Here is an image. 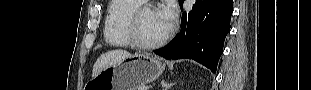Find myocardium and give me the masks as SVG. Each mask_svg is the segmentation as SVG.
<instances>
[{
	"label": "myocardium",
	"instance_id": "myocardium-1",
	"mask_svg": "<svg viewBox=\"0 0 311 90\" xmlns=\"http://www.w3.org/2000/svg\"><path fill=\"white\" fill-rule=\"evenodd\" d=\"M148 9H153L152 6L144 5L141 6L133 11L131 14L129 21H128V32L129 36L132 42V45L136 46L137 48L140 49H145V50H151L158 48L165 44L167 40L171 37L172 35V29H169L168 32L162 36L160 39L154 42H146L142 39L141 33H140V21H141V16L144 13V11Z\"/></svg>",
	"mask_w": 311,
	"mask_h": 90
}]
</instances>
